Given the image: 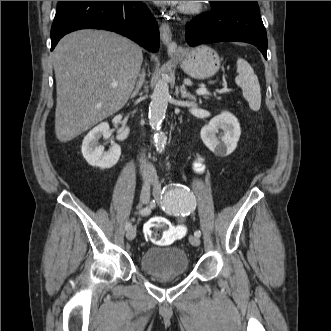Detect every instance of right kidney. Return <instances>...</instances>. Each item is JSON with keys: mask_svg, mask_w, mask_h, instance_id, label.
Listing matches in <instances>:
<instances>
[{"mask_svg": "<svg viewBox=\"0 0 331 331\" xmlns=\"http://www.w3.org/2000/svg\"><path fill=\"white\" fill-rule=\"evenodd\" d=\"M109 129L107 122L100 123L83 140L81 151L83 157L91 166L108 169L113 167L120 158L121 148L119 145L113 144L108 151H104V147L98 144L101 136L109 134ZM128 135L129 128L126 127L118 132L117 139L123 141Z\"/></svg>", "mask_w": 331, "mask_h": 331, "instance_id": "obj_1", "label": "right kidney"}]
</instances>
